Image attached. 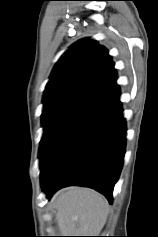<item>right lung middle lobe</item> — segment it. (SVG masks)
<instances>
[{
  "label": "right lung middle lobe",
  "instance_id": "right-lung-middle-lobe-1",
  "mask_svg": "<svg viewBox=\"0 0 158 237\" xmlns=\"http://www.w3.org/2000/svg\"><path fill=\"white\" fill-rule=\"evenodd\" d=\"M80 105L82 104L72 100H53L44 102L42 113L44 133L41 143L60 122Z\"/></svg>",
  "mask_w": 158,
  "mask_h": 237
}]
</instances>
